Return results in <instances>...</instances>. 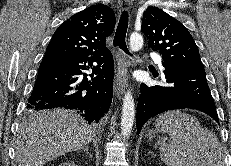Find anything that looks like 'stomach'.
<instances>
[{"mask_svg": "<svg viewBox=\"0 0 231 166\" xmlns=\"http://www.w3.org/2000/svg\"><path fill=\"white\" fill-rule=\"evenodd\" d=\"M156 135V130H149L146 137L149 141L153 140Z\"/></svg>", "mask_w": 231, "mask_h": 166, "instance_id": "0dacf381", "label": "stomach"}]
</instances>
